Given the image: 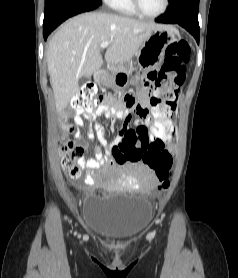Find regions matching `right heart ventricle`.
<instances>
[{"label":"right heart ventricle","mask_w":238,"mask_h":278,"mask_svg":"<svg viewBox=\"0 0 238 278\" xmlns=\"http://www.w3.org/2000/svg\"><path fill=\"white\" fill-rule=\"evenodd\" d=\"M112 8L124 15L135 16L137 15L134 10L131 0H116L112 6Z\"/></svg>","instance_id":"e07e8e85"}]
</instances>
